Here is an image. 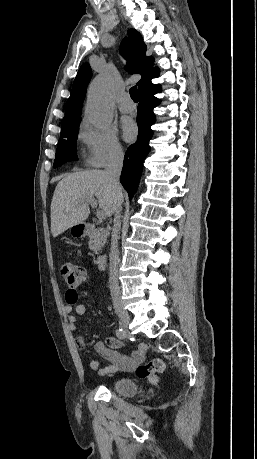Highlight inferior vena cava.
<instances>
[{"instance_id":"602c4592","label":"inferior vena cava","mask_w":257,"mask_h":459,"mask_svg":"<svg viewBox=\"0 0 257 459\" xmlns=\"http://www.w3.org/2000/svg\"><path fill=\"white\" fill-rule=\"evenodd\" d=\"M124 154L121 148L114 149L108 158L105 173L108 176L114 195V226L112 230L111 250H110V292L114 307L122 305L121 291L118 281V263H119V250H118V234L121 227V204L122 194L119 182L121 170L123 167Z\"/></svg>"}]
</instances>
